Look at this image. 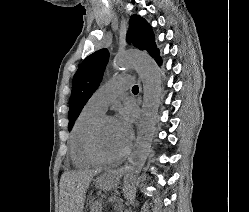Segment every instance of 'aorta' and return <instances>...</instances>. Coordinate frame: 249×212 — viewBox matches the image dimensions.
<instances>
[{
    "label": "aorta",
    "instance_id": "obj_1",
    "mask_svg": "<svg viewBox=\"0 0 249 212\" xmlns=\"http://www.w3.org/2000/svg\"><path fill=\"white\" fill-rule=\"evenodd\" d=\"M116 69L135 68L143 83L142 116L137 133L136 146L124 169V196L129 199L136 179L149 155L161 95V74L152 57L140 51L118 54L113 62Z\"/></svg>",
    "mask_w": 249,
    "mask_h": 212
}]
</instances>
